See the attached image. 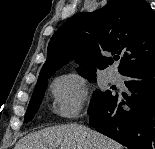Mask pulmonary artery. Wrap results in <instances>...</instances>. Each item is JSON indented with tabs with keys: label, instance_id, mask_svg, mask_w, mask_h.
I'll return each mask as SVG.
<instances>
[{
	"label": "pulmonary artery",
	"instance_id": "1",
	"mask_svg": "<svg viewBox=\"0 0 155 149\" xmlns=\"http://www.w3.org/2000/svg\"><path fill=\"white\" fill-rule=\"evenodd\" d=\"M108 78L111 82H118L120 80V76L117 72H110L108 74Z\"/></svg>",
	"mask_w": 155,
	"mask_h": 149
}]
</instances>
